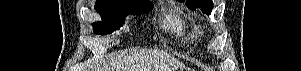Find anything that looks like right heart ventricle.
<instances>
[{
    "instance_id": "e07e8e85",
    "label": "right heart ventricle",
    "mask_w": 301,
    "mask_h": 71,
    "mask_svg": "<svg viewBox=\"0 0 301 71\" xmlns=\"http://www.w3.org/2000/svg\"><path fill=\"white\" fill-rule=\"evenodd\" d=\"M161 25L165 31L178 38H185L190 32L186 20L175 9H170L164 15Z\"/></svg>"
}]
</instances>
